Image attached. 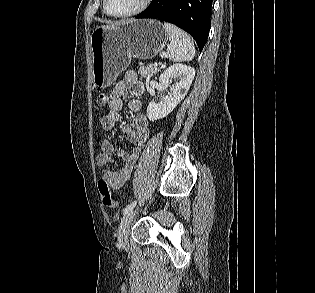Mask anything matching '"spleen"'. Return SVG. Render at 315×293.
I'll return each mask as SVG.
<instances>
[{
	"label": "spleen",
	"instance_id": "spleen-1",
	"mask_svg": "<svg viewBox=\"0 0 315 293\" xmlns=\"http://www.w3.org/2000/svg\"><path fill=\"white\" fill-rule=\"evenodd\" d=\"M170 43L166 56L173 62L191 61L195 56V46L191 37L171 23H164Z\"/></svg>",
	"mask_w": 315,
	"mask_h": 293
}]
</instances>
